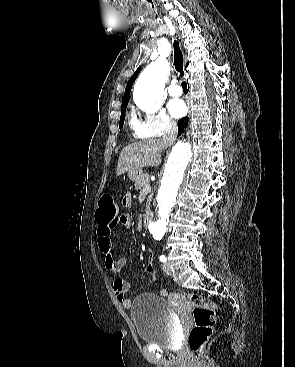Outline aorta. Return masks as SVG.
Returning <instances> with one entry per match:
<instances>
[{"mask_svg": "<svg viewBox=\"0 0 295 367\" xmlns=\"http://www.w3.org/2000/svg\"><path fill=\"white\" fill-rule=\"evenodd\" d=\"M168 73L169 65L164 59L152 62L141 73L134 88V101L140 109L150 113L159 110ZM191 158L192 147L189 142L182 140L173 146L158 189V219L149 225L150 233L156 240L165 234L169 215L187 179Z\"/></svg>", "mask_w": 295, "mask_h": 367, "instance_id": "aorta-1", "label": "aorta"}]
</instances>
